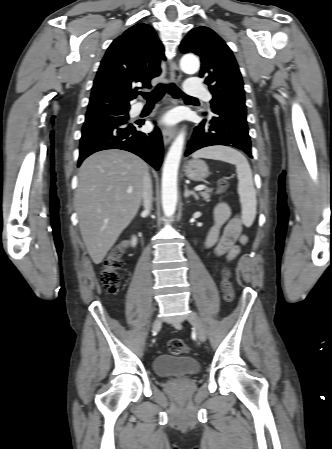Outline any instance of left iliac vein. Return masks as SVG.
<instances>
[{
	"label": "left iliac vein",
	"mask_w": 332,
	"mask_h": 449,
	"mask_svg": "<svg viewBox=\"0 0 332 449\" xmlns=\"http://www.w3.org/2000/svg\"><path fill=\"white\" fill-rule=\"evenodd\" d=\"M188 321L194 326L198 339L201 342L206 340V331L199 316L195 312H191Z\"/></svg>",
	"instance_id": "left-iliac-vein-1"
}]
</instances>
